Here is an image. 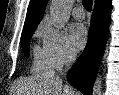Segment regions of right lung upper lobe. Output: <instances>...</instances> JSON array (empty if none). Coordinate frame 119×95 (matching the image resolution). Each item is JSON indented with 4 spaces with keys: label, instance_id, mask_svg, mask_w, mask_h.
Returning a JSON list of instances; mask_svg holds the SVG:
<instances>
[{
    "label": "right lung upper lobe",
    "instance_id": "obj_1",
    "mask_svg": "<svg viewBox=\"0 0 119 95\" xmlns=\"http://www.w3.org/2000/svg\"><path fill=\"white\" fill-rule=\"evenodd\" d=\"M105 1L107 0H95V5L103 3ZM46 4L47 0H30L22 33L36 29L37 25L42 19Z\"/></svg>",
    "mask_w": 119,
    "mask_h": 95
}]
</instances>
